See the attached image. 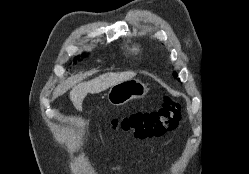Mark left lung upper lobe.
Listing matches in <instances>:
<instances>
[{
	"instance_id": "5c2ea615",
	"label": "left lung upper lobe",
	"mask_w": 249,
	"mask_h": 174,
	"mask_svg": "<svg viewBox=\"0 0 249 174\" xmlns=\"http://www.w3.org/2000/svg\"><path fill=\"white\" fill-rule=\"evenodd\" d=\"M174 77L177 78V74H176V73H174ZM178 80H179V79H178Z\"/></svg>"
}]
</instances>
